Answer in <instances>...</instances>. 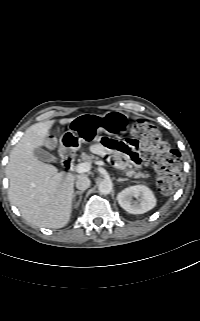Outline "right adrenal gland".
Listing matches in <instances>:
<instances>
[{
	"label": "right adrenal gland",
	"mask_w": 200,
	"mask_h": 321,
	"mask_svg": "<svg viewBox=\"0 0 200 321\" xmlns=\"http://www.w3.org/2000/svg\"><path fill=\"white\" fill-rule=\"evenodd\" d=\"M84 193V190L81 191H76L73 195V199H74V207L78 208V206L80 205V202L82 200V194ZM79 195V200L76 202V196Z\"/></svg>",
	"instance_id": "obj_1"
}]
</instances>
